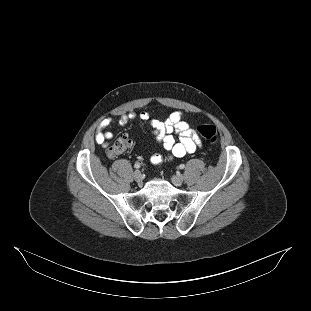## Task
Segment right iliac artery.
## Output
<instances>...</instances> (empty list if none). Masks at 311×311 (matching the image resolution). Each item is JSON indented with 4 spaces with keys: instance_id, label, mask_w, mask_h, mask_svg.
<instances>
[{
    "instance_id": "82829eb1",
    "label": "right iliac artery",
    "mask_w": 311,
    "mask_h": 311,
    "mask_svg": "<svg viewBox=\"0 0 311 311\" xmlns=\"http://www.w3.org/2000/svg\"><path fill=\"white\" fill-rule=\"evenodd\" d=\"M134 167H135L136 169H139V168H140V164H139V163H136V164L134 165Z\"/></svg>"
}]
</instances>
